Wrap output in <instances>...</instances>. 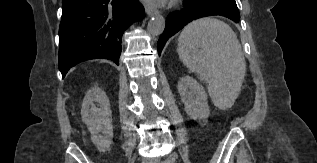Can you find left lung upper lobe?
Instances as JSON below:
<instances>
[{
  "mask_svg": "<svg viewBox=\"0 0 317 163\" xmlns=\"http://www.w3.org/2000/svg\"><path fill=\"white\" fill-rule=\"evenodd\" d=\"M211 1H218V2H222L231 6H234L237 8L236 2L235 0H211Z\"/></svg>",
  "mask_w": 317,
  "mask_h": 163,
  "instance_id": "obj_1",
  "label": "left lung upper lobe"
}]
</instances>
